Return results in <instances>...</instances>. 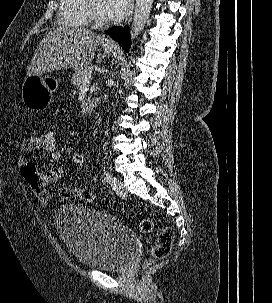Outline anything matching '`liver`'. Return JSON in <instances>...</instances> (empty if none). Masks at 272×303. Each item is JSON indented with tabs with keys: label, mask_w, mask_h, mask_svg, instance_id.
I'll return each mask as SVG.
<instances>
[{
	"label": "liver",
	"mask_w": 272,
	"mask_h": 303,
	"mask_svg": "<svg viewBox=\"0 0 272 303\" xmlns=\"http://www.w3.org/2000/svg\"><path fill=\"white\" fill-rule=\"evenodd\" d=\"M103 37L85 28L58 27L39 43L27 77L64 69L87 67Z\"/></svg>",
	"instance_id": "6515ba94"
}]
</instances>
